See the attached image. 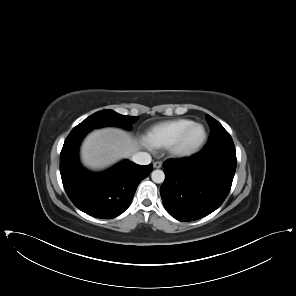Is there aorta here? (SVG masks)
<instances>
[{"instance_id": "obj_1", "label": "aorta", "mask_w": 296, "mask_h": 296, "mask_svg": "<svg viewBox=\"0 0 296 296\" xmlns=\"http://www.w3.org/2000/svg\"><path fill=\"white\" fill-rule=\"evenodd\" d=\"M152 181L155 183H163L165 174L162 170H154L151 174Z\"/></svg>"}]
</instances>
